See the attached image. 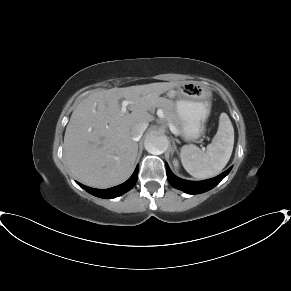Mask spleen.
I'll use <instances>...</instances> for the list:
<instances>
[{"mask_svg":"<svg viewBox=\"0 0 291 291\" xmlns=\"http://www.w3.org/2000/svg\"><path fill=\"white\" fill-rule=\"evenodd\" d=\"M234 145V128L226 113L219 117V127L212 142L202 152L195 145H184L180 158L185 170L195 178L207 179L218 175L227 165Z\"/></svg>","mask_w":291,"mask_h":291,"instance_id":"3e777b00","label":"spleen"}]
</instances>
